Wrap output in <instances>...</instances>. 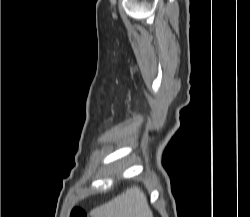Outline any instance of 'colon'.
I'll return each instance as SVG.
<instances>
[{"label":"colon","instance_id":"1","mask_svg":"<svg viewBox=\"0 0 250 217\" xmlns=\"http://www.w3.org/2000/svg\"><path fill=\"white\" fill-rule=\"evenodd\" d=\"M70 217H88V215L82 208L75 207L72 209Z\"/></svg>","mask_w":250,"mask_h":217}]
</instances>
